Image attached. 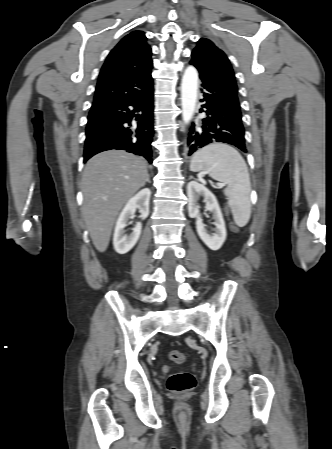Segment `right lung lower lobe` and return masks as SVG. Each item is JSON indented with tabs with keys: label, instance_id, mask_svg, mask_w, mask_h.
<instances>
[{
	"label": "right lung lower lobe",
	"instance_id": "right-lung-lower-lobe-1",
	"mask_svg": "<svg viewBox=\"0 0 332 449\" xmlns=\"http://www.w3.org/2000/svg\"><path fill=\"white\" fill-rule=\"evenodd\" d=\"M153 108V87L142 96L91 108L84 162L102 151L117 149L152 163Z\"/></svg>",
	"mask_w": 332,
	"mask_h": 449
}]
</instances>
